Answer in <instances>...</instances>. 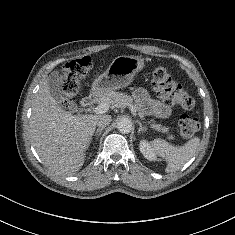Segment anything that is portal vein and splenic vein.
<instances>
[{"mask_svg":"<svg viewBox=\"0 0 235 235\" xmlns=\"http://www.w3.org/2000/svg\"><path fill=\"white\" fill-rule=\"evenodd\" d=\"M129 107L132 114L136 115V108L133 106V104H129ZM108 110H109V105L107 103H101L93 109V111L96 114H103L106 113Z\"/></svg>","mask_w":235,"mask_h":235,"instance_id":"portal-vein-and-splenic-vein-1","label":"portal vein and splenic vein"}]
</instances>
